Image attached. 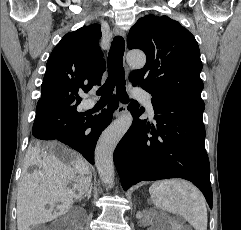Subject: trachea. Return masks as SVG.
<instances>
[{
    "instance_id": "trachea-1",
    "label": "trachea",
    "mask_w": 241,
    "mask_h": 230,
    "mask_svg": "<svg viewBox=\"0 0 241 230\" xmlns=\"http://www.w3.org/2000/svg\"><path fill=\"white\" fill-rule=\"evenodd\" d=\"M125 42L123 37L116 36L111 44L108 54V78L106 82L98 89L97 95L101 96L99 102L107 103L112 95L114 87L119 100L123 103L129 102V97L125 87V75L123 68V54Z\"/></svg>"
}]
</instances>
